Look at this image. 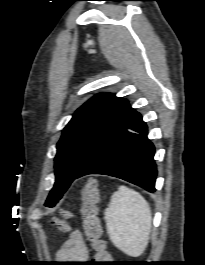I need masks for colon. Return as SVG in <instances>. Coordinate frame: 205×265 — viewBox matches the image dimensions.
<instances>
[{
    "mask_svg": "<svg viewBox=\"0 0 205 265\" xmlns=\"http://www.w3.org/2000/svg\"><path fill=\"white\" fill-rule=\"evenodd\" d=\"M81 206L80 215L82 226L87 239L94 250L93 265H104L108 263L110 254L107 250L105 240L102 238V229L98 217L99 191L97 181L93 178L87 180L80 190ZM71 216L69 211H62L61 215L54 217L52 225L59 230H67V219Z\"/></svg>",
    "mask_w": 205,
    "mask_h": 265,
    "instance_id": "1",
    "label": "colon"
}]
</instances>
